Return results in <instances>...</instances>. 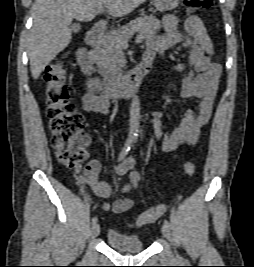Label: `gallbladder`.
I'll return each mask as SVG.
<instances>
[{
  "label": "gallbladder",
  "mask_w": 254,
  "mask_h": 267,
  "mask_svg": "<svg viewBox=\"0 0 254 267\" xmlns=\"http://www.w3.org/2000/svg\"><path fill=\"white\" fill-rule=\"evenodd\" d=\"M80 28H81V26H80V24H78V23H74V24H72V25L70 26L71 31H74V32L79 31Z\"/></svg>",
  "instance_id": "gallbladder-1"
}]
</instances>
